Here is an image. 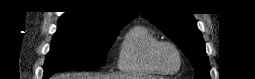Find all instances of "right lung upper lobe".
I'll use <instances>...</instances> for the list:
<instances>
[{
  "label": "right lung upper lobe",
  "mask_w": 255,
  "mask_h": 79,
  "mask_svg": "<svg viewBox=\"0 0 255 79\" xmlns=\"http://www.w3.org/2000/svg\"><path fill=\"white\" fill-rule=\"evenodd\" d=\"M137 15V12L108 9L98 1H78L74 3L72 11L59 18L58 28L118 31Z\"/></svg>",
  "instance_id": "1"
}]
</instances>
